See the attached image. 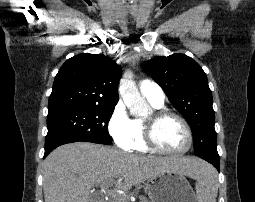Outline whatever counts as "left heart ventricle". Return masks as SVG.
Masks as SVG:
<instances>
[{
    "label": "left heart ventricle",
    "instance_id": "1",
    "mask_svg": "<svg viewBox=\"0 0 255 202\" xmlns=\"http://www.w3.org/2000/svg\"><path fill=\"white\" fill-rule=\"evenodd\" d=\"M159 146L168 151H179L187 144V134L183 125L175 118L161 121L155 131Z\"/></svg>",
    "mask_w": 255,
    "mask_h": 202
}]
</instances>
